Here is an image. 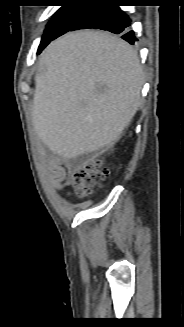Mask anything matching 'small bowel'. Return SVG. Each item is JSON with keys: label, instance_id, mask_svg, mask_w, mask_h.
<instances>
[{"label": "small bowel", "instance_id": "c3829d8e", "mask_svg": "<svg viewBox=\"0 0 184 327\" xmlns=\"http://www.w3.org/2000/svg\"><path fill=\"white\" fill-rule=\"evenodd\" d=\"M49 167L52 172L54 186L58 191H61L64 183L68 181L74 166L65 159H51L49 160Z\"/></svg>", "mask_w": 184, "mask_h": 327}]
</instances>
